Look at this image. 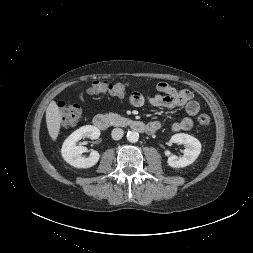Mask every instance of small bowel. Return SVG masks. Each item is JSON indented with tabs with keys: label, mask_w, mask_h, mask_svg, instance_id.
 <instances>
[{
	"label": "small bowel",
	"mask_w": 253,
	"mask_h": 253,
	"mask_svg": "<svg viewBox=\"0 0 253 253\" xmlns=\"http://www.w3.org/2000/svg\"><path fill=\"white\" fill-rule=\"evenodd\" d=\"M156 89L160 94L154 96H144L139 92H134L130 96L131 104L135 107H142L146 103H149L154 107L168 109L184 107L187 116L180 121L174 122L172 130L174 132L191 130L193 127L192 117L197 115L200 110L199 103L194 100L193 93L188 89H176L166 82L158 83ZM148 125L150 132L158 130L161 126L159 121H152Z\"/></svg>",
	"instance_id": "1"
}]
</instances>
